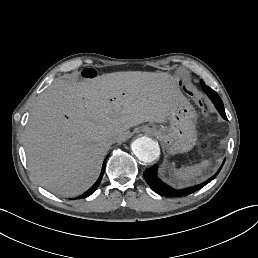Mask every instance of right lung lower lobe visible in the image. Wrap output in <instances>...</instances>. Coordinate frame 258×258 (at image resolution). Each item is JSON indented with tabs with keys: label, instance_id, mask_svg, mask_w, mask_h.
Wrapping results in <instances>:
<instances>
[{
	"label": "right lung lower lobe",
	"instance_id": "right-lung-lower-lobe-1",
	"mask_svg": "<svg viewBox=\"0 0 258 258\" xmlns=\"http://www.w3.org/2000/svg\"><path fill=\"white\" fill-rule=\"evenodd\" d=\"M105 165H106V159L104 160L100 177L98 178L96 183L88 191H86L84 194H82L81 196H79L77 198H74V199H81V198L88 197L89 195H91L97 189V187L99 186V184L101 182V179L103 177V174H104V171H105Z\"/></svg>",
	"mask_w": 258,
	"mask_h": 258
}]
</instances>
